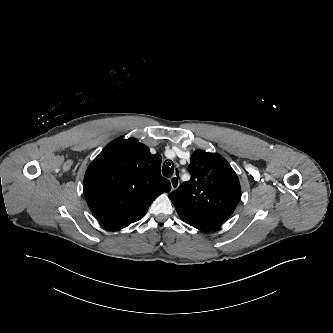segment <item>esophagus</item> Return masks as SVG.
I'll return each mask as SVG.
<instances>
[{
  "label": "esophagus",
  "instance_id": "1",
  "mask_svg": "<svg viewBox=\"0 0 333 333\" xmlns=\"http://www.w3.org/2000/svg\"><path fill=\"white\" fill-rule=\"evenodd\" d=\"M179 183H180V181H179V178H178L177 175H174L170 178V184H171V189L172 190L177 189L178 186H179Z\"/></svg>",
  "mask_w": 333,
  "mask_h": 333
}]
</instances>
